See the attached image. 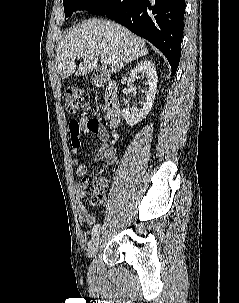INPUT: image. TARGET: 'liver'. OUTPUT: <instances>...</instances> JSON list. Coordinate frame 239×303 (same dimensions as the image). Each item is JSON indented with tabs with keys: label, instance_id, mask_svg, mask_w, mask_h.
<instances>
[{
	"label": "liver",
	"instance_id": "6515ba94",
	"mask_svg": "<svg viewBox=\"0 0 239 303\" xmlns=\"http://www.w3.org/2000/svg\"><path fill=\"white\" fill-rule=\"evenodd\" d=\"M58 71L62 79L92 72L98 56L110 58V72H119L131 61L148 54L145 42L125 27L106 20L92 19L76 25L58 43ZM84 61L76 70L75 60Z\"/></svg>",
	"mask_w": 239,
	"mask_h": 303
}]
</instances>
